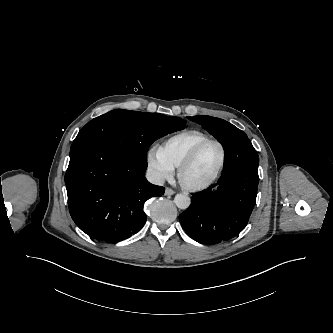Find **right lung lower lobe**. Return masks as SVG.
<instances>
[{"mask_svg":"<svg viewBox=\"0 0 333 333\" xmlns=\"http://www.w3.org/2000/svg\"><path fill=\"white\" fill-rule=\"evenodd\" d=\"M146 168L147 163L103 143L71 146L65 184L76 225L92 238L109 242L137 233L147 220L144 203L165 191L146 180Z\"/></svg>","mask_w":333,"mask_h":333,"instance_id":"1","label":"right lung lower lobe"}]
</instances>
